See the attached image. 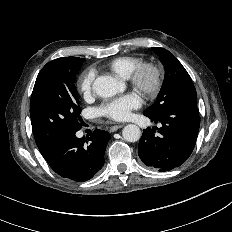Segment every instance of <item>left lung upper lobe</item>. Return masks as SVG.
<instances>
[{"label":"left lung upper lobe","mask_w":232,"mask_h":232,"mask_svg":"<svg viewBox=\"0 0 232 232\" xmlns=\"http://www.w3.org/2000/svg\"><path fill=\"white\" fill-rule=\"evenodd\" d=\"M152 50L160 56L165 77L155 103L144 114L158 115L180 103L197 106L194 84L179 60L164 48L153 47Z\"/></svg>","instance_id":"1"}]
</instances>
